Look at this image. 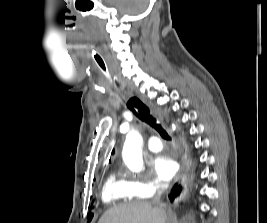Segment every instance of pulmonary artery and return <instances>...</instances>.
Wrapping results in <instances>:
<instances>
[{
  "mask_svg": "<svg viewBox=\"0 0 267 223\" xmlns=\"http://www.w3.org/2000/svg\"><path fill=\"white\" fill-rule=\"evenodd\" d=\"M162 147H163V144L161 140L156 136L150 138L147 143V148L152 152L160 151Z\"/></svg>",
  "mask_w": 267,
  "mask_h": 223,
  "instance_id": "1",
  "label": "pulmonary artery"
}]
</instances>
